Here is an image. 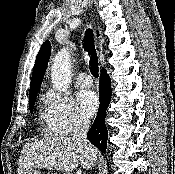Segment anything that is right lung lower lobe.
<instances>
[{
    "mask_svg": "<svg viewBox=\"0 0 175 174\" xmlns=\"http://www.w3.org/2000/svg\"><path fill=\"white\" fill-rule=\"evenodd\" d=\"M100 106L95 121L87 133L89 141L100 151L105 152L107 148L108 131L105 125L106 109L111 100V81L106 70L101 71L100 77Z\"/></svg>",
    "mask_w": 175,
    "mask_h": 174,
    "instance_id": "obj_1",
    "label": "right lung lower lobe"
}]
</instances>
